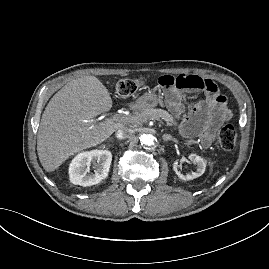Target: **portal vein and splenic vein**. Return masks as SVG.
I'll use <instances>...</instances> for the list:
<instances>
[{"instance_id":"portal-vein-and-splenic-vein-1","label":"portal vein and splenic vein","mask_w":269,"mask_h":269,"mask_svg":"<svg viewBox=\"0 0 269 269\" xmlns=\"http://www.w3.org/2000/svg\"><path fill=\"white\" fill-rule=\"evenodd\" d=\"M110 121H116V122H123V123H135L136 118L135 117H126L124 115H113L109 119ZM93 122V120H91Z\"/></svg>"}]
</instances>
